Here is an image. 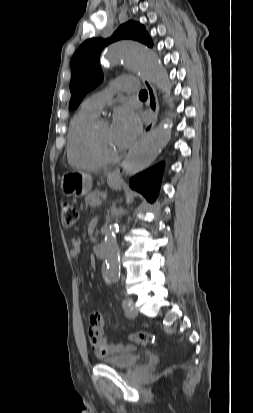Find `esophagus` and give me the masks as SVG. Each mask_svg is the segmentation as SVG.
<instances>
[{"mask_svg":"<svg viewBox=\"0 0 253 413\" xmlns=\"http://www.w3.org/2000/svg\"><path fill=\"white\" fill-rule=\"evenodd\" d=\"M142 82L148 93L147 106L150 112V120L145 125L143 134L152 130L156 124L158 113H159V102L154 86L149 80L142 79ZM132 154V150L129 151V155ZM128 163V157L113 171L109 174L110 178L119 179L123 171L125 170L126 164Z\"/></svg>","mask_w":253,"mask_h":413,"instance_id":"1","label":"esophagus"}]
</instances>
